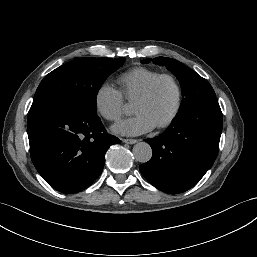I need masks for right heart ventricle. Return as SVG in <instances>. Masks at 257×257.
Here are the masks:
<instances>
[{
  "label": "right heart ventricle",
  "mask_w": 257,
  "mask_h": 257,
  "mask_svg": "<svg viewBox=\"0 0 257 257\" xmlns=\"http://www.w3.org/2000/svg\"><path fill=\"white\" fill-rule=\"evenodd\" d=\"M161 72L145 67H136L117 78L119 91L128 101H134L146 85Z\"/></svg>",
  "instance_id": "e07e8e85"
}]
</instances>
